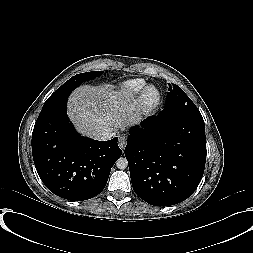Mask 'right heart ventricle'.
<instances>
[{"label": "right heart ventricle", "mask_w": 253, "mask_h": 253, "mask_svg": "<svg viewBox=\"0 0 253 253\" xmlns=\"http://www.w3.org/2000/svg\"><path fill=\"white\" fill-rule=\"evenodd\" d=\"M146 86V81L141 78L124 81L119 86L120 95L127 100H134Z\"/></svg>", "instance_id": "right-heart-ventricle-1"}]
</instances>
